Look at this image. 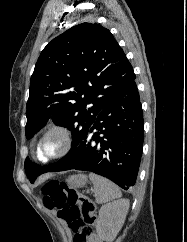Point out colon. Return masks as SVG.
I'll list each match as a JSON object with an SVG mask.
<instances>
[{
	"mask_svg": "<svg viewBox=\"0 0 187 242\" xmlns=\"http://www.w3.org/2000/svg\"><path fill=\"white\" fill-rule=\"evenodd\" d=\"M42 192L45 206L56 210L57 216L73 231V242H101L93 234L97 216L88 197L58 180L45 183Z\"/></svg>",
	"mask_w": 187,
	"mask_h": 242,
	"instance_id": "colon-1",
	"label": "colon"
}]
</instances>
